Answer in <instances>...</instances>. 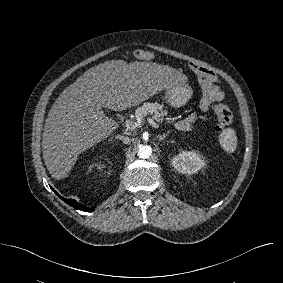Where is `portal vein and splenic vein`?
<instances>
[{"label": "portal vein and splenic vein", "mask_w": 283, "mask_h": 283, "mask_svg": "<svg viewBox=\"0 0 283 283\" xmlns=\"http://www.w3.org/2000/svg\"><path fill=\"white\" fill-rule=\"evenodd\" d=\"M148 123L153 127V128H158V124L156 122H154V120L152 118H148L147 119ZM125 126L128 128V129H135L136 127L139 126V124L135 121H132V120H129V119H126L125 120Z\"/></svg>", "instance_id": "1"}]
</instances>
